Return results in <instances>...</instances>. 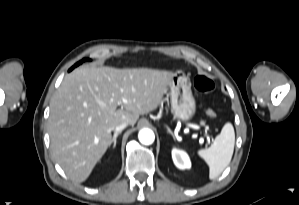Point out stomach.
Returning <instances> with one entry per match:
<instances>
[{
  "label": "stomach",
  "instance_id": "0dacf381",
  "mask_svg": "<svg viewBox=\"0 0 299 205\" xmlns=\"http://www.w3.org/2000/svg\"><path fill=\"white\" fill-rule=\"evenodd\" d=\"M169 88L174 118L184 122L190 120L196 111V101L185 73L177 71L169 84Z\"/></svg>",
  "mask_w": 299,
  "mask_h": 205
}]
</instances>
